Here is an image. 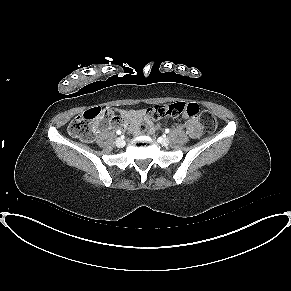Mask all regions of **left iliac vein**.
I'll return each instance as SVG.
<instances>
[{
  "label": "left iliac vein",
  "mask_w": 291,
  "mask_h": 291,
  "mask_svg": "<svg viewBox=\"0 0 291 291\" xmlns=\"http://www.w3.org/2000/svg\"><path fill=\"white\" fill-rule=\"evenodd\" d=\"M158 141L163 146H167L170 143V140L167 137H161Z\"/></svg>",
  "instance_id": "left-iliac-vein-1"
}]
</instances>
